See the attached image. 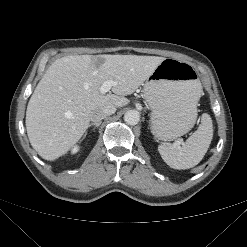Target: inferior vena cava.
I'll use <instances>...</instances> for the list:
<instances>
[{
  "label": "inferior vena cava",
  "mask_w": 247,
  "mask_h": 247,
  "mask_svg": "<svg viewBox=\"0 0 247 247\" xmlns=\"http://www.w3.org/2000/svg\"><path fill=\"white\" fill-rule=\"evenodd\" d=\"M116 112V107L114 106H108L102 110H94L90 114V120L94 123L101 122L104 118H106L109 115H112Z\"/></svg>",
  "instance_id": "inferior-vena-cava-1"
}]
</instances>
